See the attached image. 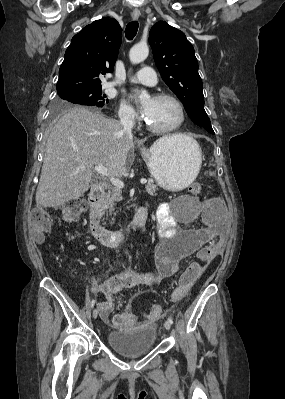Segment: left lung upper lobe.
Returning a JSON list of instances; mask_svg holds the SVG:
<instances>
[{"label":"left lung upper lobe","instance_id":"left-lung-upper-lobe-1","mask_svg":"<svg viewBox=\"0 0 285 399\" xmlns=\"http://www.w3.org/2000/svg\"><path fill=\"white\" fill-rule=\"evenodd\" d=\"M149 43L162 79L184 104L188 116L214 134L204 110L203 86L194 48L185 34L159 21L150 30Z\"/></svg>","mask_w":285,"mask_h":399}]
</instances>
